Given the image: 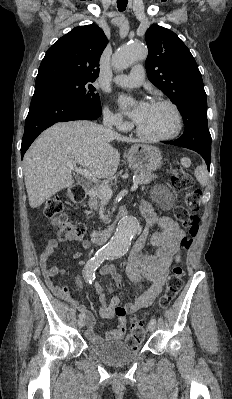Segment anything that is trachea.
Returning a JSON list of instances; mask_svg holds the SVG:
<instances>
[{"label": "trachea", "instance_id": "3493384b", "mask_svg": "<svg viewBox=\"0 0 232 399\" xmlns=\"http://www.w3.org/2000/svg\"><path fill=\"white\" fill-rule=\"evenodd\" d=\"M128 0H117V7L120 12H123L127 6Z\"/></svg>", "mask_w": 232, "mask_h": 399}]
</instances>
